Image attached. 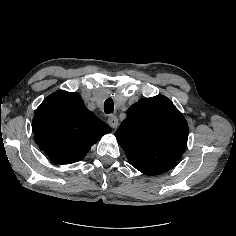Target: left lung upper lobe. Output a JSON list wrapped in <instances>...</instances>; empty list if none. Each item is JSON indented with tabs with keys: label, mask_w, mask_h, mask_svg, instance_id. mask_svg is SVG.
<instances>
[{
	"label": "left lung upper lobe",
	"mask_w": 236,
	"mask_h": 236,
	"mask_svg": "<svg viewBox=\"0 0 236 236\" xmlns=\"http://www.w3.org/2000/svg\"><path fill=\"white\" fill-rule=\"evenodd\" d=\"M188 131L175 105L158 95L133 104L115 136L132 166L156 175L175 166L186 148Z\"/></svg>",
	"instance_id": "5c2ea615"
}]
</instances>
